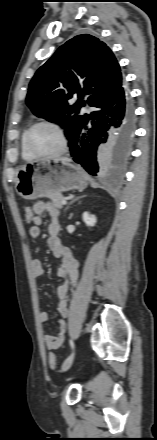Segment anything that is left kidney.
Listing matches in <instances>:
<instances>
[{
    "mask_svg": "<svg viewBox=\"0 0 157 440\" xmlns=\"http://www.w3.org/2000/svg\"><path fill=\"white\" fill-rule=\"evenodd\" d=\"M82 218L88 227H93L97 222L95 215H90L88 212H84Z\"/></svg>",
    "mask_w": 157,
    "mask_h": 440,
    "instance_id": "obj_1",
    "label": "left kidney"
}]
</instances>
